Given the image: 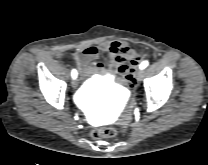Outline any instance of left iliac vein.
Listing matches in <instances>:
<instances>
[{
    "label": "left iliac vein",
    "instance_id": "1",
    "mask_svg": "<svg viewBox=\"0 0 208 165\" xmlns=\"http://www.w3.org/2000/svg\"><path fill=\"white\" fill-rule=\"evenodd\" d=\"M144 77V71L143 70H139L137 73H136V79L138 82L142 81Z\"/></svg>",
    "mask_w": 208,
    "mask_h": 165
}]
</instances>
